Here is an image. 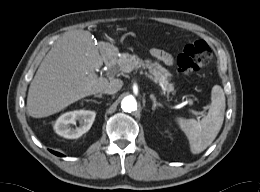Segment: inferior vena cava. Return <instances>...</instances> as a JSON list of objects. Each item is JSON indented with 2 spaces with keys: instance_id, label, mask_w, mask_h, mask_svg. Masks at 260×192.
<instances>
[{
  "instance_id": "602c4592",
  "label": "inferior vena cava",
  "mask_w": 260,
  "mask_h": 192,
  "mask_svg": "<svg viewBox=\"0 0 260 192\" xmlns=\"http://www.w3.org/2000/svg\"><path fill=\"white\" fill-rule=\"evenodd\" d=\"M123 85L122 80L120 79H112L108 85L102 90L103 93L114 94L118 92Z\"/></svg>"
}]
</instances>
